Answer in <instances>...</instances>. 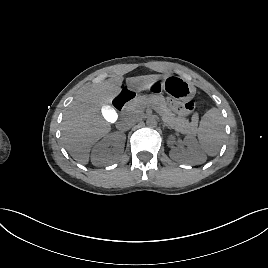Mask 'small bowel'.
I'll return each mask as SVG.
<instances>
[{"label":"small bowel","instance_id":"obj_1","mask_svg":"<svg viewBox=\"0 0 268 268\" xmlns=\"http://www.w3.org/2000/svg\"><path fill=\"white\" fill-rule=\"evenodd\" d=\"M173 108L182 116L188 115L192 108H193V103L192 102H187L184 105L180 106L177 104H173Z\"/></svg>","mask_w":268,"mask_h":268}]
</instances>
